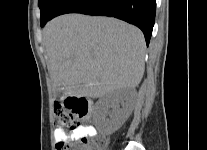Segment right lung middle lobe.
Segmentation results:
<instances>
[{
  "label": "right lung middle lobe",
  "instance_id": "dd1d6c3e",
  "mask_svg": "<svg viewBox=\"0 0 207 150\" xmlns=\"http://www.w3.org/2000/svg\"><path fill=\"white\" fill-rule=\"evenodd\" d=\"M63 0H38V6L41 11L40 23L44 24L54 15L57 7Z\"/></svg>",
  "mask_w": 207,
  "mask_h": 150
}]
</instances>
